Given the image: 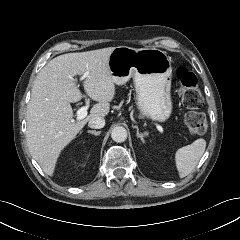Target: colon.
<instances>
[{
    "label": "colon",
    "mask_w": 240,
    "mask_h": 240,
    "mask_svg": "<svg viewBox=\"0 0 240 240\" xmlns=\"http://www.w3.org/2000/svg\"><path fill=\"white\" fill-rule=\"evenodd\" d=\"M175 77L180 83L179 95L183 105L192 110L185 116L188 130L195 135L205 134L208 128L206 118L202 113L194 111L203 104L196 76L187 68L179 67L175 70Z\"/></svg>",
    "instance_id": "colon-1"
}]
</instances>
